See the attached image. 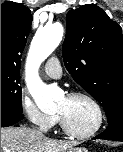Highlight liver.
Instances as JSON below:
<instances>
[{
	"instance_id": "6515ba94",
	"label": "liver",
	"mask_w": 123,
	"mask_h": 152,
	"mask_svg": "<svg viewBox=\"0 0 123 152\" xmlns=\"http://www.w3.org/2000/svg\"><path fill=\"white\" fill-rule=\"evenodd\" d=\"M77 142L49 139L26 127L1 128V152H66Z\"/></svg>"
}]
</instances>
